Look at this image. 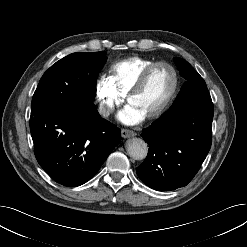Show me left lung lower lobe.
I'll return each mask as SVG.
<instances>
[{
    "label": "left lung lower lobe",
    "instance_id": "left-lung-lower-lobe-1",
    "mask_svg": "<svg viewBox=\"0 0 247 247\" xmlns=\"http://www.w3.org/2000/svg\"><path fill=\"white\" fill-rule=\"evenodd\" d=\"M213 111L208 89L202 88L142 130L149 150L137 175L147 186L169 191L193 179L211 147Z\"/></svg>",
    "mask_w": 247,
    "mask_h": 247
}]
</instances>
